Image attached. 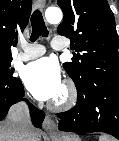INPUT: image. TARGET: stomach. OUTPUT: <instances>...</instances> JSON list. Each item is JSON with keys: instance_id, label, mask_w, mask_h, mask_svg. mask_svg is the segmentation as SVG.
<instances>
[{"instance_id": "0dacf381", "label": "stomach", "mask_w": 119, "mask_h": 141, "mask_svg": "<svg viewBox=\"0 0 119 141\" xmlns=\"http://www.w3.org/2000/svg\"><path fill=\"white\" fill-rule=\"evenodd\" d=\"M53 141H81V139L75 134H62L53 137Z\"/></svg>"}]
</instances>
